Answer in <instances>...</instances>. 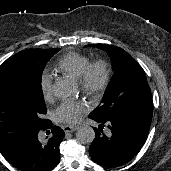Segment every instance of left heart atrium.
Returning a JSON list of instances; mask_svg holds the SVG:
<instances>
[{"instance_id": "39dd6f15", "label": "left heart atrium", "mask_w": 171, "mask_h": 171, "mask_svg": "<svg viewBox=\"0 0 171 171\" xmlns=\"http://www.w3.org/2000/svg\"><path fill=\"white\" fill-rule=\"evenodd\" d=\"M87 109V105L84 102L66 100L54 112V118L58 122L77 123Z\"/></svg>"}]
</instances>
